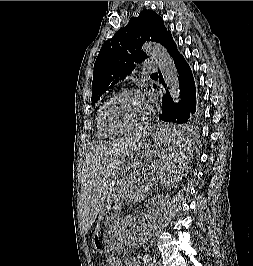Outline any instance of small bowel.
<instances>
[{
  "instance_id": "1",
  "label": "small bowel",
  "mask_w": 253,
  "mask_h": 266,
  "mask_svg": "<svg viewBox=\"0 0 253 266\" xmlns=\"http://www.w3.org/2000/svg\"><path fill=\"white\" fill-rule=\"evenodd\" d=\"M111 261L117 262V265L116 266H139V264L135 260H133V259H129V260H126L124 262H121L116 257H110V258H108L107 262H111ZM145 262H146V265L150 266V256H146L145 257Z\"/></svg>"
}]
</instances>
